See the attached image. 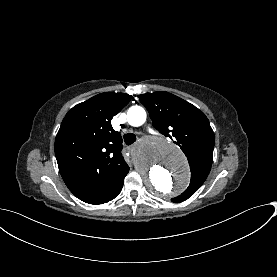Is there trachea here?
<instances>
[{
	"label": "trachea",
	"mask_w": 277,
	"mask_h": 277,
	"mask_svg": "<svg viewBox=\"0 0 277 277\" xmlns=\"http://www.w3.org/2000/svg\"><path fill=\"white\" fill-rule=\"evenodd\" d=\"M123 139L127 145H131L136 141V135L133 133H127L123 136Z\"/></svg>",
	"instance_id": "3493384b"
}]
</instances>
